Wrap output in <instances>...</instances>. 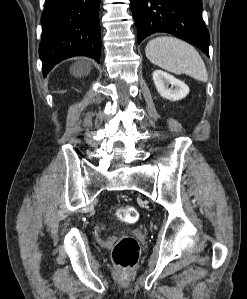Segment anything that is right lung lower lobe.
Returning <instances> with one entry per match:
<instances>
[{
  "label": "right lung lower lobe",
  "instance_id": "right-lung-lower-lobe-1",
  "mask_svg": "<svg viewBox=\"0 0 247 299\" xmlns=\"http://www.w3.org/2000/svg\"><path fill=\"white\" fill-rule=\"evenodd\" d=\"M99 5L100 0H45L39 46L44 75L73 56L91 57L99 63Z\"/></svg>",
  "mask_w": 247,
  "mask_h": 299
}]
</instances>
